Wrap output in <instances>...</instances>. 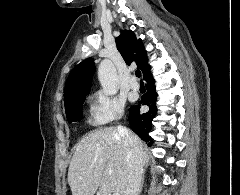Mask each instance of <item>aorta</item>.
Returning a JSON list of instances; mask_svg holds the SVG:
<instances>
[{
    "instance_id": "obj_1",
    "label": "aorta",
    "mask_w": 240,
    "mask_h": 195,
    "mask_svg": "<svg viewBox=\"0 0 240 195\" xmlns=\"http://www.w3.org/2000/svg\"><path fill=\"white\" fill-rule=\"evenodd\" d=\"M98 80L105 94H108V96H114V94H117L119 90V80L117 70L111 60H107V58L101 60L98 66Z\"/></svg>"
}]
</instances>
